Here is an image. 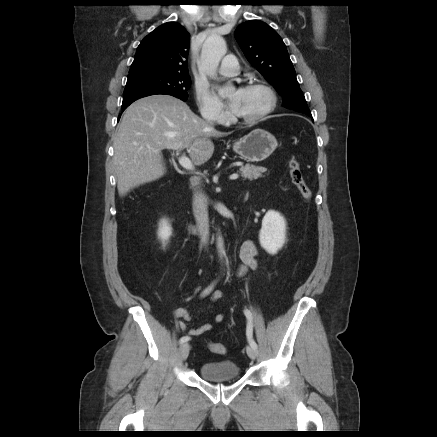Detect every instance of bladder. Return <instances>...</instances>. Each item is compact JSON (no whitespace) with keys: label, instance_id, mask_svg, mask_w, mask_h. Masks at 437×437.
I'll return each mask as SVG.
<instances>
[{"label":"bladder","instance_id":"bladder-1","mask_svg":"<svg viewBox=\"0 0 437 437\" xmlns=\"http://www.w3.org/2000/svg\"><path fill=\"white\" fill-rule=\"evenodd\" d=\"M200 376L208 381L235 380L240 377L239 366L229 360L204 362L199 368Z\"/></svg>","mask_w":437,"mask_h":437}]
</instances>
